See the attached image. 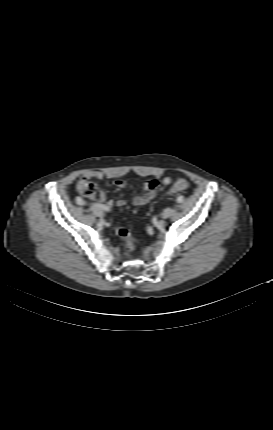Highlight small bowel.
<instances>
[{
  "mask_svg": "<svg viewBox=\"0 0 273 430\" xmlns=\"http://www.w3.org/2000/svg\"><path fill=\"white\" fill-rule=\"evenodd\" d=\"M85 177L87 178H95L102 179L104 177V173L98 170L87 171L85 173ZM172 182L170 177H164L161 180L151 179L144 183L143 188L144 192L141 194H137L133 197V204L136 206H143L151 202L166 186H168ZM115 185L119 189H125L127 187V182L125 180H117ZM100 199L104 203H93V204H102L106 205L108 208L113 207L115 204L117 207H123L126 205L127 201L125 199H118L116 202L113 200H107L106 193L104 191L100 192ZM79 205H87L88 202L81 198V201H77Z\"/></svg>",
  "mask_w": 273,
  "mask_h": 430,
  "instance_id": "obj_1",
  "label": "small bowel"
}]
</instances>
